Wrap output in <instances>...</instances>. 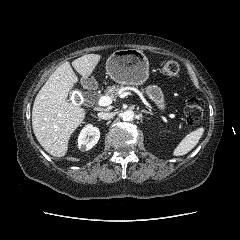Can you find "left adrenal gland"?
Masks as SVG:
<instances>
[{"instance_id":"a2214340","label":"left adrenal gland","mask_w":240,"mask_h":240,"mask_svg":"<svg viewBox=\"0 0 240 240\" xmlns=\"http://www.w3.org/2000/svg\"><path fill=\"white\" fill-rule=\"evenodd\" d=\"M141 112H143V113H146V114L153 115V113H152V112H150V111H147V110H141Z\"/></svg>"}]
</instances>
